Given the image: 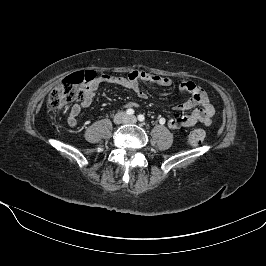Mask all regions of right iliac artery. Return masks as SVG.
<instances>
[{"instance_id": "1", "label": "right iliac artery", "mask_w": 266, "mask_h": 266, "mask_svg": "<svg viewBox=\"0 0 266 266\" xmlns=\"http://www.w3.org/2000/svg\"><path fill=\"white\" fill-rule=\"evenodd\" d=\"M126 113L129 115V116H132L134 114V110L133 109H127Z\"/></svg>"}]
</instances>
